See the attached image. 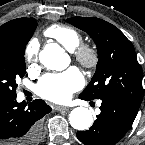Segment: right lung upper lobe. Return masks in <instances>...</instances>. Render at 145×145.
<instances>
[{
  "mask_svg": "<svg viewBox=\"0 0 145 145\" xmlns=\"http://www.w3.org/2000/svg\"><path fill=\"white\" fill-rule=\"evenodd\" d=\"M36 20L34 18H18L0 26V40H8L22 35L29 30Z\"/></svg>",
  "mask_w": 145,
  "mask_h": 145,
  "instance_id": "right-lung-upper-lobe-1",
  "label": "right lung upper lobe"
}]
</instances>
